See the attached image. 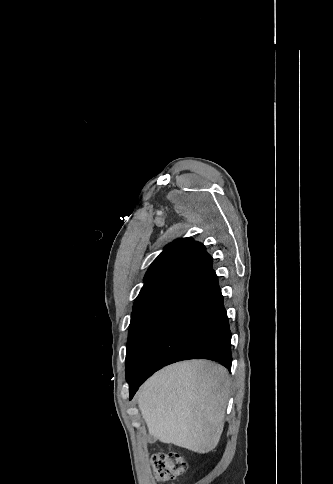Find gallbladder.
<instances>
[{"mask_svg":"<svg viewBox=\"0 0 333 484\" xmlns=\"http://www.w3.org/2000/svg\"><path fill=\"white\" fill-rule=\"evenodd\" d=\"M148 441H149L150 443H152V442H154V441H155V439H154V437H153V436H149Z\"/></svg>","mask_w":333,"mask_h":484,"instance_id":"1","label":"gallbladder"}]
</instances>
